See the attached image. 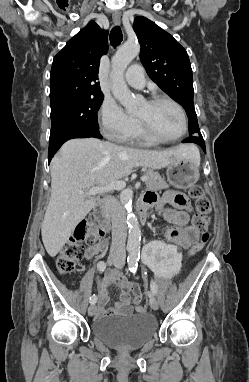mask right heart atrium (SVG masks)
I'll return each mask as SVG.
<instances>
[{"mask_svg": "<svg viewBox=\"0 0 249 382\" xmlns=\"http://www.w3.org/2000/svg\"><path fill=\"white\" fill-rule=\"evenodd\" d=\"M100 128L109 139L130 140L138 129V121L129 116L114 100L105 99L99 112Z\"/></svg>", "mask_w": 249, "mask_h": 382, "instance_id": "obj_1", "label": "right heart atrium"}]
</instances>
